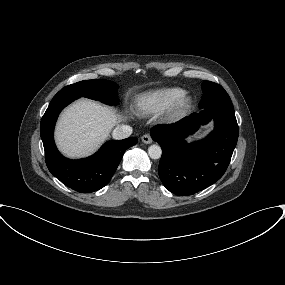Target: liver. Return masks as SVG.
Returning <instances> with one entry per match:
<instances>
[{
	"instance_id": "obj_1",
	"label": "liver",
	"mask_w": 285,
	"mask_h": 285,
	"mask_svg": "<svg viewBox=\"0 0 285 285\" xmlns=\"http://www.w3.org/2000/svg\"><path fill=\"white\" fill-rule=\"evenodd\" d=\"M123 117L111 107L89 99H80L66 108L57 123L58 148L68 157L79 158L93 153Z\"/></svg>"
}]
</instances>
